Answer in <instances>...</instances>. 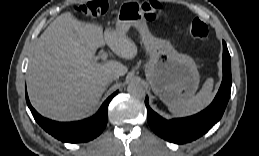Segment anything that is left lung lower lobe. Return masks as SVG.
I'll return each mask as SVG.
<instances>
[{"mask_svg": "<svg viewBox=\"0 0 259 156\" xmlns=\"http://www.w3.org/2000/svg\"><path fill=\"white\" fill-rule=\"evenodd\" d=\"M231 83L230 54L223 41V79L211 105L196 115L166 120L149 107L148 97H146L149 126L157 135L176 144L191 142L201 137L221 119L230 98Z\"/></svg>", "mask_w": 259, "mask_h": 156, "instance_id": "left-lung-lower-lobe-1", "label": "left lung lower lobe"}]
</instances>
